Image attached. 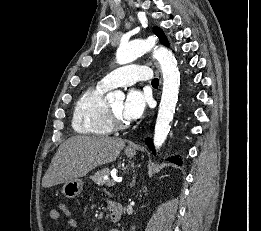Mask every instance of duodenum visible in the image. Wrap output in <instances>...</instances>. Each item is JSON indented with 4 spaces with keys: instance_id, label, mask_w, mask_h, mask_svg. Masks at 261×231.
<instances>
[{
    "instance_id": "410a0bca",
    "label": "duodenum",
    "mask_w": 261,
    "mask_h": 231,
    "mask_svg": "<svg viewBox=\"0 0 261 231\" xmlns=\"http://www.w3.org/2000/svg\"><path fill=\"white\" fill-rule=\"evenodd\" d=\"M108 210H109L111 220L118 221L122 216L123 207L122 204L118 202H109Z\"/></svg>"
}]
</instances>
